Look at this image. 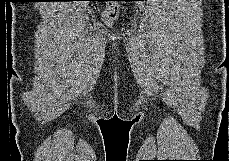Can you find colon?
<instances>
[{"label": "colon", "mask_w": 229, "mask_h": 161, "mask_svg": "<svg viewBox=\"0 0 229 161\" xmlns=\"http://www.w3.org/2000/svg\"><path fill=\"white\" fill-rule=\"evenodd\" d=\"M118 14H119V5L114 2L110 3L107 5L106 9L102 14V21L106 25H111L118 17Z\"/></svg>", "instance_id": "5ec220e1"}]
</instances>
